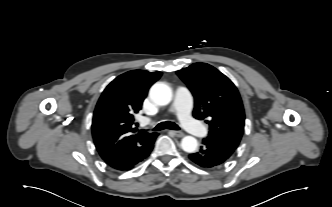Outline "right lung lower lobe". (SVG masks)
<instances>
[{"label": "right lung lower lobe", "instance_id": "98d812e1", "mask_svg": "<svg viewBox=\"0 0 332 207\" xmlns=\"http://www.w3.org/2000/svg\"><path fill=\"white\" fill-rule=\"evenodd\" d=\"M155 139H156V138H155ZM155 139H154V142H155ZM154 142L152 143L150 149L147 151L146 155L141 159V161H142L143 159H145V158L150 154L151 150L153 149V144H154ZM141 161H139V162H141ZM139 162H138V163H139ZM138 163H137V164H138ZM133 167H134V165H133L132 167L128 168L127 170H130V169L133 168Z\"/></svg>", "mask_w": 332, "mask_h": 207}]
</instances>
